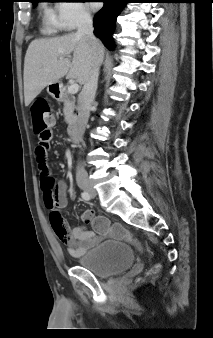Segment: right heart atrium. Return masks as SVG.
Returning <instances> with one entry per match:
<instances>
[{
  "mask_svg": "<svg viewBox=\"0 0 213 338\" xmlns=\"http://www.w3.org/2000/svg\"><path fill=\"white\" fill-rule=\"evenodd\" d=\"M53 22L64 30H72L90 21V13L82 2L62 1L57 4L55 13L50 15Z\"/></svg>",
  "mask_w": 213,
  "mask_h": 338,
  "instance_id": "d8ad5b80",
  "label": "right heart atrium"
}]
</instances>
